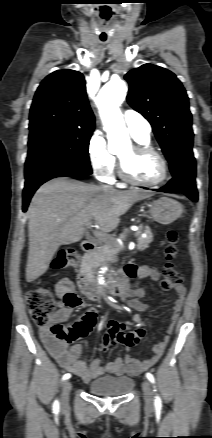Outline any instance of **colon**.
Listing matches in <instances>:
<instances>
[{
    "label": "colon",
    "instance_id": "5ec220e1",
    "mask_svg": "<svg viewBox=\"0 0 212 438\" xmlns=\"http://www.w3.org/2000/svg\"><path fill=\"white\" fill-rule=\"evenodd\" d=\"M178 233L170 230L167 233V243L165 247L166 264L163 271L161 287L164 290L175 289L182 283V276L174 267L172 260L178 253ZM79 261L78 254L73 249L61 250L52 262V268L64 269L75 267ZM59 296L67 305H75L79 302V297L73 288H63ZM27 305L33 321L40 327H49L52 334L60 341L73 342L88 334V327L82 322L65 327L60 322L53 320L57 309L56 300L50 289L37 287L28 292Z\"/></svg>",
    "mask_w": 212,
    "mask_h": 438
}]
</instances>
